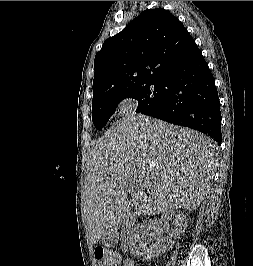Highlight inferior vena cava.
Wrapping results in <instances>:
<instances>
[{"instance_id": "inferior-vena-cava-1", "label": "inferior vena cava", "mask_w": 253, "mask_h": 266, "mask_svg": "<svg viewBox=\"0 0 253 266\" xmlns=\"http://www.w3.org/2000/svg\"><path fill=\"white\" fill-rule=\"evenodd\" d=\"M129 218L131 219V216H128V219H127V221H129Z\"/></svg>"}]
</instances>
